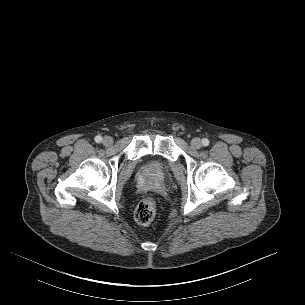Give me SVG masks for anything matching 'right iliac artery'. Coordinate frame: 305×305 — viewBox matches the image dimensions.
Masks as SVG:
<instances>
[{
  "mask_svg": "<svg viewBox=\"0 0 305 305\" xmlns=\"http://www.w3.org/2000/svg\"><path fill=\"white\" fill-rule=\"evenodd\" d=\"M102 141V137L101 136H96L95 137V142L100 143Z\"/></svg>",
  "mask_w": 305,
  "mask_h": 305,
  "instance_id": "right-iliac-artery-1",
  "label": "right iliac artery"
}]
</instances>
